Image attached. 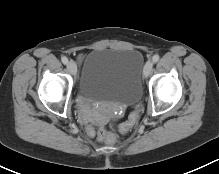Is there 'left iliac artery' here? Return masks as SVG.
<instances>
[{
  "label": "left iliac artery",
  "mask_w": 219,
  "mask_h": 174,
  "mask_svg": "<svg viewBox=\"0 0 219 174\" xmlns=\"http://www.w3.org/2000/svg\"><path fill=\"white\" fill-rule=\"evenodd\" d=\"M159 55L155 54L153 57H152V60L154 63L158 62L159 61Z\"/></svg>",
  "instance_id": "obj_1"
}]
</instances>
